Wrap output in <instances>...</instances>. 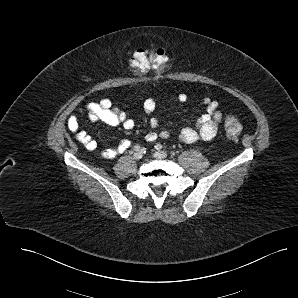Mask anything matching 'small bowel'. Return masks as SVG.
I'll list each match as a JSON object with an SVG mask.
<instances>
[{"mask_svg":"<svg viewBox=\"0 0 298 298\" xmlns=\"http://www.w3.org/2000/svg\"><path fill=\"white\" fill-rule=\"evenodd\" d=\"M188 96L185 93H179L173 97L176 102H186ZM202 104L206 111L197 120L196 128H183L179 133V139L186 144H193L199 141L212 140L218 131L219 124L222 120V113L217 101L209 97L202 99ZM157 107V100L149 98L144 101L143 108L146 113L152 115ZM86 114L91 121H101L107 125L118 127L125 130H132L135 123L127 114L113 105L111 100L104 98L98 102H92L80 108L77 115H72L68 119V127L75 134V138L89 151L98 149L97 142L85 131L79 130V116ZM159 122L153 115L150 118V129L145 134L147 142H153L158 138L168 139L170 133L163 130L157 133ZM131 146L129 139H122L116 146L102 149L101 155L105 158H115L125 152Z\"/></svg>","mask_w":298,"mask_h":298,"instance_id":"1","label":"small bowel"}]
</instances>
